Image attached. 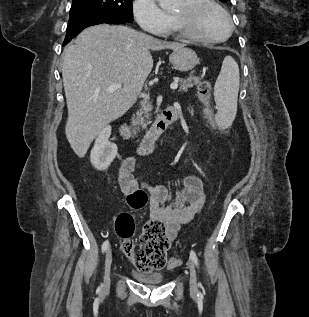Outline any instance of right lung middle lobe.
<instances>
[{
    "label": "right lung middle lobe",
    "instance_id": "obj_1",
    "mask_svg": "<svg viewBox=\"0 0 309 317\" xmlns=\"http://www.w3.org/2000/svg\"><path fill=\"white\" fill-rule=\"evenodd\" d=\"M96 14L133 21L132 0H73L70 17Z\"/></svg>",
    "mask_w": 309,
    "mask_h": 317
}]
</instances>
